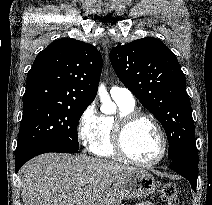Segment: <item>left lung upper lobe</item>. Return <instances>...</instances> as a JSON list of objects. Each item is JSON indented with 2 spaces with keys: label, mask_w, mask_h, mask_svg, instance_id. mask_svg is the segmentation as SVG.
Segmentation results:
<instances>
[{
  "label": "left lung upper lobe",
  "mask_w": 212,
  "mask_h": 205,
  "mask_svg": "<svg viewBox=\"0 0 212 205\" xmlns=\"http://www.w3.org/2000/svg\"><path fill=\"white\" fill-rule=\"evenodd\" d=\"M110 61L118 78L162 124L171 162L198 157L185 75L176 55L159 39L146 37L114 47Z\"/></svg>",
  "instance_id": "obj_1"
}]
</instances>
